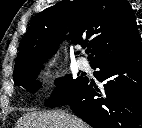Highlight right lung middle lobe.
I'll return each mask as SVG.
<instances>
[{
  "label": "right lung middle lobe",
  "mask_w": 142,
  "mask_h": 128,
  "mask_svg": "<svg viewBox=\"0 0 142 128\" xmlns=\"http://www.w3.org/2000/svg\"><path fill=\"white\" fill-rule=\"evenodd\" d=\"M45 61L38 60L16 68L13 73L15 85L22 86L29 92H35L38 87H41L36 78L40 72L41 65ZM84 80V77L72 78V75H66L61 79H57L55 81L57 87L49 101L46 102V106L67 105Z\"/></svg>",
  "instance_id": "1"
}]
</instances>
